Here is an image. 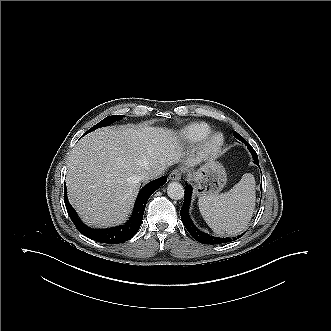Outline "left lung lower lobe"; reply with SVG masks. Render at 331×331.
<instances>
[{
    "label": "left lung lower lobe",
    "instance_id": "obj_1",
    "mask_svg": "<svg viewBox=\"0 0 331 331\" xmlns=\"http://www.w3.org/2000/svg\"><path fill=\"white\" fill-rule=\"evenodd\" d=\"M235 138L239 139L240 141L244 142L249 149L251 153H254L255 155L256 152L253 150L251 145L241 136V135H234ZM255 163V162H254ZM259 166L258 163H255ZM191 194H192V188L186 183V188H185V198H184V203L181 208V219L185 227L187 228L188 232L192 235V237L197 240L198 242L202 244H222V243H227L236 240V237L234 238H219V237H214L210 236L200 230H198L194 224L192 223L188 211H189V205L191 201ZM243 235V234H242ZM242 235L238 236L240 238Z\"/></svg>",
    "mask_w": 331,
    "mask_h": 331
}]
</instances>
